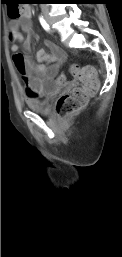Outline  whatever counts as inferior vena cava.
Returning a JSON list of instances; mask_svg holds the SVG:
<instances>
[{
	"mask_svg": "<svg viewBox=\"0 0 122 257\" xmlns=\"http://www.w3.org/2000/svg\"><path fill=\"white\" fill-rule=\"evenodd\" d=\"M48 4H41V8L43 11L47 10L48 9Z\"/></svg>",
	"mask_w": 122,
	"mask_h": 257,
	"instance_id": "602c4592",
	"label": "inferior vena cava"
}]
</instances>
